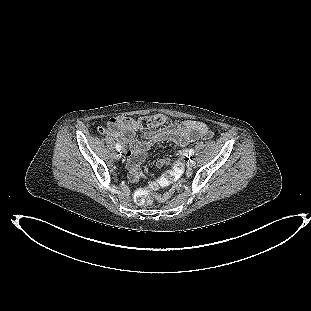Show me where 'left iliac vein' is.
Returning a JSON list of instances; mask_svg holds the SVG:
<instances>
[{"label": "left iliac vein", "mask_w": 311, "mask_h": 311, "mask_svg": "<svg viewBox=\"0 0 311 311\" xmlns=\"http://www.w3.org/2000/svg\"><path fill=\"white\" fill-rule=\"evenodd\" d=\"M189 165H190L191 167H194V166H195V159H194V158L190 159Z\"/></svg>", "instance_id": "left-iliac-vein-1"}]
</instances>
